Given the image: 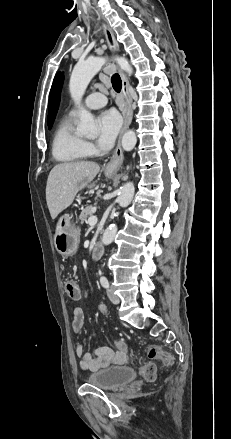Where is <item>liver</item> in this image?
Masks as SVG:
<instances>
[{
    "mask_svg": "<svg viewBox=\"0 0 231 439\" xmlns=\"http://www.w3.org/2000/svg\"><path fill=\"white\" fill-rule=\"evenodd\" d=\"M100 166L90 161L61 163L50 171L46 201L52 219L69 207L76 194L98 174Z\"/></svg>",
    "mask_w": 231,
    "mask_h": 439,
    "instance_id": "1",
    "label": "liver"
}]
</instances>
